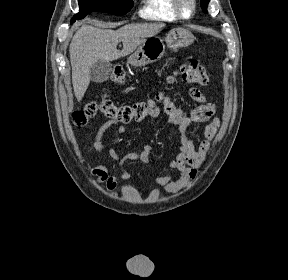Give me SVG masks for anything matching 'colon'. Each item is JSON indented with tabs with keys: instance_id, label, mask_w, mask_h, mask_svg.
Wrapping results in <instances>:
<instances>
[{
	"instance_id": "obj_1",
	"label": "colon",
	"mask_w": 288,
	"mask_h": 280,
	"mask_svg": "<svg viewBox=\"0 0 288 280\" xmlns=\"http://www.w3.org/2000/svg\"><path fill=\"white\" fill-rule=\"evenodd\" d=\"M179 74L188 83L206 85L208 75L206 68L196 60H187L179 70ZM112 81L122 84L125 81L126 73L121 65H116L112 73ZM161 99L157 96L156 100ZM155 101L137 102L132 105H115L106 95H102L99 102L88 103L83 110L75 111L72 114L76 125H85L100 110L105 116L118 122L129 123L132 120H141L148 116L154 108Z\"/></svg>"
}]
</instances>
